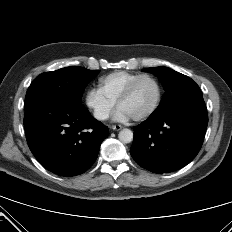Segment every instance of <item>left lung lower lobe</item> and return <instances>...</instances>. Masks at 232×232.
Segmentation results:
<instances>
[{"label":"left lung lower lobe","instance_id":"1","mask_svg":"<svg viewBox=\"0 0 232 232\" xmlns=\"http://www.w3.org/2000/svg\"><path fill=\"white\" fill-rule=\"evenodd\" d=\"M208 116L201 92L152 113L134 128L133 159L154 173H168L190 163L198 154Z\"/></svg>","mask_w":232,"mask_h":232}]
</instances>
